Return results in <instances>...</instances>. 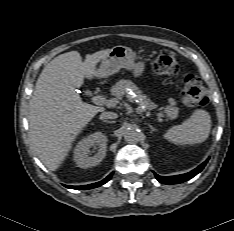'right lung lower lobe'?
Listing matches in <instances>:
<instances>
[{"mask_svg": "<svg viewBox=\"0 0 234 231\" xmlns=\"http://www.w3.org/2000/svg\"><path fill=\"white\" fill-rule=\"evenodd\" d=\"M112 174L108 175L104 180L97 182V183H93V184H89V185H84V186H69V185H65L67 188L70 189H92L98 186H101L103 184H105L106 182H108L111 178Z\"/></svg>", "mask_w": 234, "mask_h": 231, "instance_id": "98d812e1", "label": "right lung lower lobe"}]
</instances>
